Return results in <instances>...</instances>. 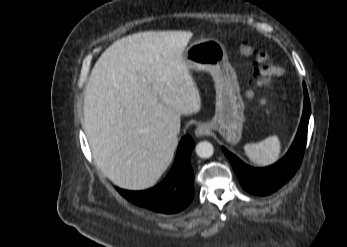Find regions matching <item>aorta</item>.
I'll return each instance as SVG.
<instances>
[{
    "label": "aorta",
    "mask_w": 347,
    "mask_h": 247,
    "mask_svg": "<svg viewBox=\"0 0 347 247\" xmlns=\"http://www.w3.org/2000/svg\"><path fill=\"white\" fill-rule=\"evenodd\" d=\"M213 153L214 147L208 141H201L196 146V154L200 158H210Z\"/></svg>",
    "instance_id": "obj_1"
}]
</instances>
